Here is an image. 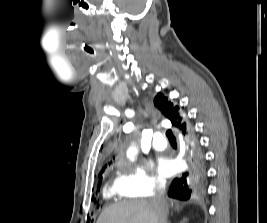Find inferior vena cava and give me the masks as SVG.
Instances as JSON below:
<instances>
[{
    "label": "inferior vena cava",
    "mask_w": 267,
    "mask_h": 223,
    "mask_svg": "<svg viewBox=\"0 0 267 223\" xmlns=\"http://www.w3.org/2000/svg\"><path fill=\"white\" fill-rule=\"evenodd\" d=\"M151 202L159 211V223H167L168 207L165 198V184H158Z\"/></svg>",
    "instance_id": "1"
}]
</instances>
